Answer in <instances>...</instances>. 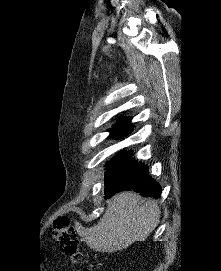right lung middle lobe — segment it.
Masks as SVG:
<instances>
[{
    "mask_svg": "<svg viewBox=\"0 0 221 271\" xmlns=\"http://www.w3.org/2000/svg\"><path fill=\"white\" fill-rule=\"evenodd\" d=\"M131 131H111L110 137L114 138H122L127 136ZM131 152L128 153H120L115 158H113L108 164L106 165L107 169H110L116 165H119L131 157Z\"/></svg>",
    "mask_w": 221,
    "mask_h": 271,
    "instance_id": "dd1d6c3e",
    "label": "right lung middle lobe"
}]
</instances>
